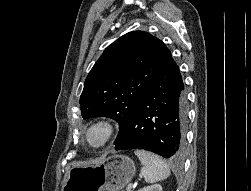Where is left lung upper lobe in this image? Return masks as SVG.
<instances>
[{"label": "left lung upper lobe", "mask_w": 251, "mask_h": 191, "mask_svg": "<svg viewBox=\"0 0 251 191\" xmlns=\"http://www.w3.org/2000/svg\"><path fill=\"white\" fill-rule=\"evenodd\" d=\"M171 57L164 43L147 32L121 36L105 49L85 80L80 97L83 119L107 116L117 120L116 144Z\"/></svg>", "instance_id": "5c2ea615"}]
</instances>
